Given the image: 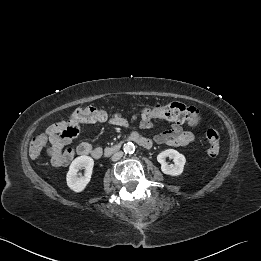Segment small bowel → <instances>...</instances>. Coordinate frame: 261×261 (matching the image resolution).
I'll return each instance as SVG.
<instances>
[{"label": "small bowel", "instance_id": "1", "mask_svg": "<svg viewBox=\"0 0 261 261\" xmlns=\"http://www.w3.org/2000/svg\"><path fill=\"white\" fill-rule=\"evenodd\" d=\"M108 124L121 127L124 129H129L128 121L119 113L113 114L108 119ZM73 124V121L69 119L66 122H58L51 124L47 127L46 133L50 134V143L47 146V153L50 157L51 163L54 166H63L68 164L74 157L73 150H63L64 144L59 143V135L70 127ZM141 127L144 129L153 128L154 125L152 122L141 123ZM132 133H136L135 131H131ZM194 135L190 131H186L183 129L182 125L179 122H175L171 125L168 130H165L156 136H154L153 140L157 144H166L172 147H184L192 144L194 142ZM76 154L85 156L91 155L95 158L101 155V148L97 146H93L87 142H83L79 144L76 148Z\"/></svg>", "mask_w": 261, "mask_h": 261}]
</instances>
